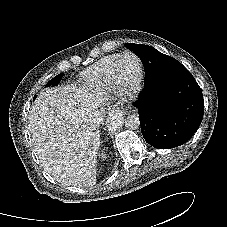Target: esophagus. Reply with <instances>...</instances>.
Instances as JSON below:
<instances>
[{"mask_svg": "<svg viewBox=\"0 0 227 227\" xmlns=\"http://www.w3.org/2000/svg\"><path fill=\"white\" fill-rule=\"evenodd\" d=\"M112 111L113 112H116V113H121V110H120V108L117 106V105H114L113 107H112Z\"/></svg>", "mask_w": 227, "mask_h": 227, "instance_id": "esophagus-1", "label": "esophagus"}]
</instances>
